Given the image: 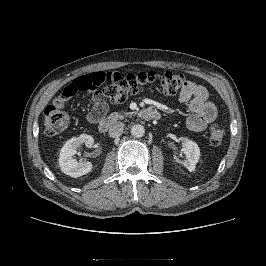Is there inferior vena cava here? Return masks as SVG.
<instances>
[{
	"instance_id": "602c4592",
	"label": "inferior vena cava",
	"mask_w": 266,
	"mask_h": 266,
	"mask_svg": "<svg viewBox=\"0 0 266 266\" xmlns=\"http://www.w3.org/2000/svg\"><path fill=\"white\" fill-rule=\"evenodd\" d=\"M124 124L122 122H115L109 128V136L111 138H118L123 133Z\"/></svg>"
}]
</instances>
